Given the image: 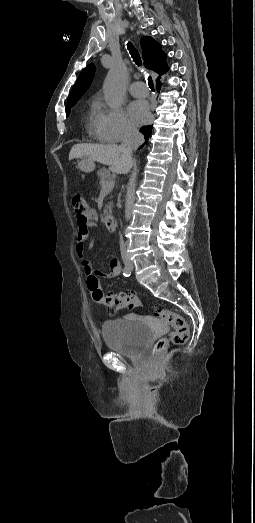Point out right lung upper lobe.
Instances as JSON below:
<instances>
[{
	"label": "right lung upper lobe",
	"instance_id": "obj_1",
	"mask_svg": "<svg viewBox=\"0 0 255 523\" xmlns=\"http://www.w3.org/2000/svg\"><path fill=\"white\" fill-rule=\"evenodd\" d=\"M142 46V55L144 59V65L147 69L153 70L159 74L157 78V90L160 89V76L166 73L168 66L165 62L167 57L161 50V45L157 43L152 37L144 36L140 40ZM95 74V66L89 64L79 75L76 83L74 84L67 102L78 101L80 97L89 88ZM140 132L145 137V143H147L149 136L152 132V126H143Z\"/></svg>",
	"mask_w": 255,
	"mask_h": 523
}]
</instances>
